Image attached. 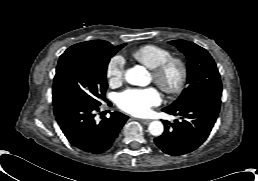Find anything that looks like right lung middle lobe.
I'll list each match as a JSON object with an SVG mask.
<instances>
[{
    "label": "right lung middle lobe",
    "mask_w": 258,
    "mask_h": 181,
    "mask_svg": "<svg viewBox=\"0 0 258 181\" xmlns=\"http://www.w3.org/2000/svg\"><path fill=\"white\" fill-rule=\"evenodd\" d=\"M126 44L104 49L75 44L61 56L53 83V103L74 100L99 107L108 87L110 58Z\"/></svg>",
    "instance_id": "dd1d6c3e"
}]
</instances>
